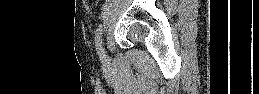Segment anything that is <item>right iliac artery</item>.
Listing matches in <instances>:
<instances>
[{"label":"right iliac artery","instance_id":"right-iliac-artery-1","mask_svg":"<svg viewBox=\"0 0 259 94\" xmlns=\"http://www.w3.org/2000/svg\"><path fill=\"white\" fill-rule=\"evenodd\" d=\"M102 26L100 25L99 28L96 31V49L99 53L100 58L103 60L102 57Z\"/></svg>","mask_w":259,"mask_h":94}]
</instances>
